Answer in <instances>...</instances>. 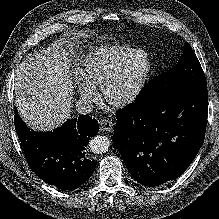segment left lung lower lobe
Masks as SVG:
<instances>
[{
	"label": "left lung lower lobe",
	"instance_id": "0a47b994",
	"mask_svg": "<svg viewBox=\"0 0 219 219\" xmlns=\"http://www.w3.org/2000/svg\"><path fill=\"white\" fill-rule=\"evenodd\" d=\"M206 87L155 103L134 102L116 113L113 143L130 174L154 187L182 175L201 148L207 125Z\"/></svg>",
	"mask_w": 219,
	"mask_h": 219
}]
</instances>
